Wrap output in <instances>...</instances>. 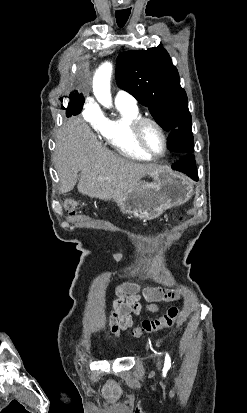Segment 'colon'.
Masks as SVG:
<instances>
[{
	"label": "colon",
	"mask_w": 247,
	"mask_h": 413,
	"mask_svg": "<svg viewBox=\"0 0 247 413\" xmlns=\"http://www.w3.org/2000/svg\"><path fill=\"white\" fill-rule=\"evenodd\" d=\"M64 206L68 214L74 215L77 211L78 203L76 201L69 200L65 202ZM177 220L183 221L184 217L178 216ZM179 313L180 308L174 306L169 308L167 312L159 318L145 319L141 322L140 326L134 329L132 336L134 338H140L146 334L173 328L179 317Z\"/></svg>",
	"instance_id": "5ec220e1"
}]
</instances>
